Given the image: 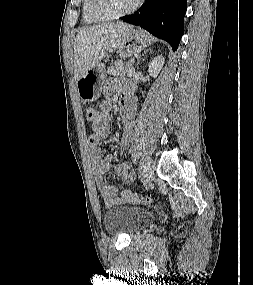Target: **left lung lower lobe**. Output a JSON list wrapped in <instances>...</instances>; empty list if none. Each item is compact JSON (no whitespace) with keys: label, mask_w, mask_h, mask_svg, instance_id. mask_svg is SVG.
Here are the masks:
<instances>
[{"label":"left lung lower lobe","mask_w":253,"mask_h":285,"mask_svg":"<svg viewBox=\"0 0 253 285\" xmlns=\"http://www.w3.org/2000/svg\"><path fill=\"white\" fill-rule=\"evenodd\" d=\"M186 9L187 0H146L137 13L120 19L166 40L175 51L182 37Z\"/></svg>","instance_id":"left-lung-lower-lobe-1"}]
</instances>
